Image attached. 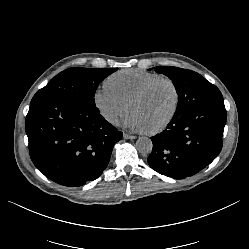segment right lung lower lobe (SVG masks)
<instances>
[{"mask_svg":"<svg viewBox=\"0 0 249 249\" xmlns=\"http://www.w3.org/2000/svg\"><path fill=\"white\" fill-rule=\"evenodd\" d=\"M25 126L34 165L52 181L71 187L98 178L123 135L96 106L65 98L31 104Z\"/></svg>","mask_w":249,"mask_h":249,"instance_id":"98d812e1","label":"right lung lower lobe"}]
</instances>
